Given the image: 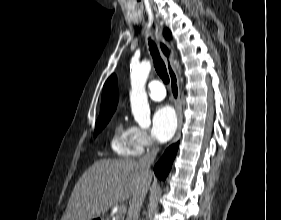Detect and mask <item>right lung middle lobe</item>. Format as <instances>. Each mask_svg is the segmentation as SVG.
<instances>
[{"instance_id": "1", "label": "right lung middle lobe", "mask_w": 281, "mask_h": 220, "mask_svg": "<svg viewBox=\"0 0 281 220\" xmlns=\"http://www.w3.org/2000/svg\"><path fill=\"white\" fill-rule=\"evenodd\" d=\"M112 115H107V116H101L98 118L96 122V127H95V132L94 136H96L109 122L110 118Z\"/></svg>"}]
</instances>
